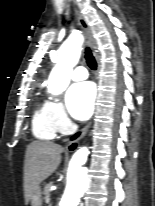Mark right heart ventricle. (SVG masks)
Returning <instances> with one entry per match:
<instances>
[{
  "label": "right heart ventricle",
  "instance_id": "1",
  "mask_svg": "<svg viewBox=\"0 0 155 206\" xmlns=\"http://www.w3.org/2000/svg\"><path fill=\"white\" fill-rule=\"evenodd\" d=\"M32 130L38 139L52 140L55 138L57 130L46 112L45 104L35 111L32 119Z\"/></svg>",
  "mask_w": 155,
  "mask_h": 206
}]
</instances>
